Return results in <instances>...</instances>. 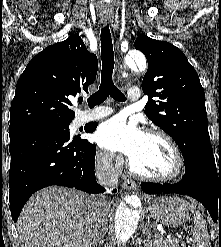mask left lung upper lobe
I'll return each mask as SVG.
<instances>
[{
  "instance_id": "5c2ea615",
  "label": "left lung upper lobe",
  "mask_w": 221,
  "mask_h": 247,
  "mask_svg": "<svg viewBox=\"0 0 221 247\" xmlns=\"http://www.w3.org/2000/svg\"><path fill=\"white\" fill-rule=\"evenodd\" d=\"M134 46L148 61L142 82V90L148 94L145 114L172 137L185 159L210 143L205 93L199 76L173 44L141 35Z\"/></svg>"
}]
</instances>
